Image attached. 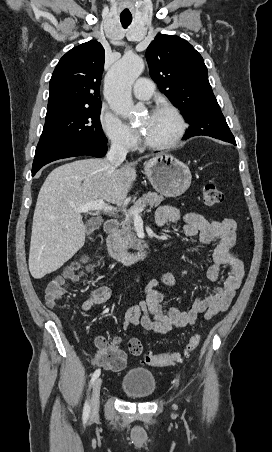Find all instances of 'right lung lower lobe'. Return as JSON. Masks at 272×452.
Returning <instances> with one entry per match:
<instances>
[{
  "label": "right lung lower lobe",
  "instance_id": "98d812e1",
  "mask_svg": "<svg viewBox=\"0 0 272 452\" xmlns=\"http://www.w3.org/2000/svg\"><path fill=\"white\" fill-rule=\"evenodd\" d=\"M107 152V144L94 145L85 142H72L60 145L38 146L32 166V176L44 165L63 158L82 155L103 157Z\"/></svg>",
  "mask_w": 272,
  "mask_h": 452
}]
</instances>
